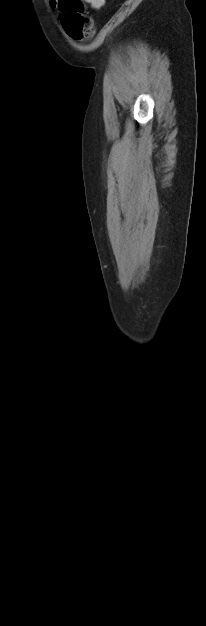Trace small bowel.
<instances>
[{
    "label": "small bowel",
    "instance_id": "1",
    "mask_svg": "<svg viewBox=\"0 0 206 626\" xmlns=\"http://www.w3.org/2000/svg\"><path fill=\"white\" fill-rule=\"evenodd\" d=\"M94 9H100L105 4V0H84ZM50 5L53 8H58V0H50Z\"/></svg>",
    "mask_w": 206,
    "mask_h": 626
}]
</instances>
